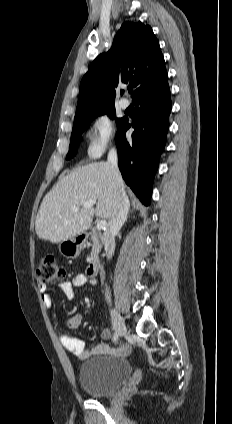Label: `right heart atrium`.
Instances as JSON below:
<instances>
[{"label":"right heart atrium","instance_id":"obj_1","mask_svg":"<svg viewBox=\"0 0 232 424\" xmlns=\"http://www.w3.org/2000/svg\"><path fill=\"white\" fill-rule=\"evenodd\" d=\"M115 127L107 114H100L92 121L87 133V152L93 158L101 157L114 146Z\"/></svg>","mask_w":232,"mask_h":424}]
</instances>
